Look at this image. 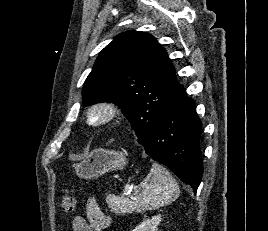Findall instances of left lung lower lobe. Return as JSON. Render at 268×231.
<instances>
[{
    "instance_id": "1",
    "label": "left lung lower lobe",
    "mask_w": 268,
    "mask_h": 231,
    "mask_svg": "<svg viewBox=\"0 0 268 231\" xmlns=\"http://www.w3.org/2000/svg\"><path fill=\"white\" fill-rule=\"evenodd\" d=\"M202 124L185 88L168 104L154 127L138 137L146 154L166 165L196 193L203 174Z\"/></svg>"
}]
</instances>
